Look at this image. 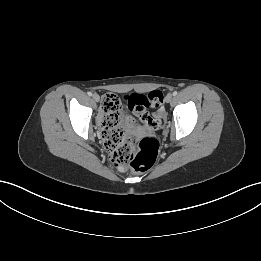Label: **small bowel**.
Segmentation results:
<instances>
[{"label":"small bowel","mask_w":261,"mask_h":261,"mask_svg":"<svg viewBox=\"0 0 261 261\" xmlns=\"http://www.w3.org/2000/svg\"><path fill=\"white\" fill-rule=\"evenodd\" d=\"M135 118H137L139 121H140V119H139V116H134ZM146 125V124H145ZM147 127H149V128H151L149 125H146ZM151 129H153V128H151Z\"/></svg>","instance_id":"c3829d8e"}]
</instances>
